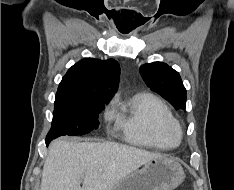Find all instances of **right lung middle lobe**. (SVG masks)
I'll return each instance as SVG.
<instances>
[{
  "mask_svg": "<svg viewBox=\"0 0 234 190\" xmlns=\"http://www.w3.org/2000/svg\"><path fill=\"white\" fill-rule=\"evenodd\" d=\"M108 101L56 94L51 129L46 140L62 135H83L97 129L98 115Z\"/></svg>",
  "mask_w": 234,
  "mask_h": 190,
  "instance_id": "1",
  "label": "right lung middle lobe"
}]
</instances>
